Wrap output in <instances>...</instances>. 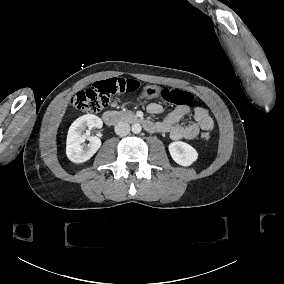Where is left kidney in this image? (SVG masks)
Instances as JSON below:
<instances>
[{
	"mask_svg": "<svg viewBox=\"0 0 284 284\" xmlns=\"http://www.w3.org/2000/svg\"><path fill=\"white\" fill-rule=\"evenodd\" d=\"M169 152L173 160L182 166H190L198 158L197 151L182 141L172 142L169 145Z\"/></svg>",
	"mask_w": 284,
	"mask_h": 284,
	"instance_id": "1",
	"label": "left kidney"
}]
</instances>
